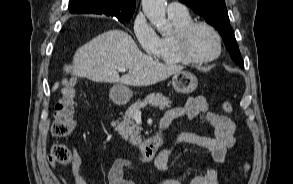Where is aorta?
<instances>
[{
  "label": "aorta",
  "mask_w": 293,
  "mask_h": 184,
  "mask_svg": "<svg viewBox=\"0 0 293 184\" xmlns=\"http://www.w3.org/2000/svg\"><path fill=\"white\" fill-rule=\"evenodd\" d=\"M143 12L158 32L165 33L171 29L166 19V0H142Z\"/></svg>",
  "instance_id": "762f6f07"
}]
</instances>
